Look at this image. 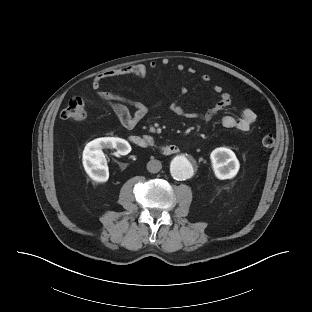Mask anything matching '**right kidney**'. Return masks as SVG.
Returning <instances> with one entry per match:
<instances>
[{
  "label": "right kidney",
  "mask_w": 312,
  "mask_h": 312,
  "mask_svg": "<svg viewBox=\"0 0 312 312\" xmlns=\"http://www.w3.org/2000/svg\"><path fill=\"white\" fill-rule=\"evenodd\" d=\"M114 148L121 155H127L131 151L130 144L121 138L105 137L89 142L83 151V166L86 173L96 182H106L109 171L106 158L102 149Z\"/></svg>",
  "instance_id": "ca27d5eb"
}]
</instances>
